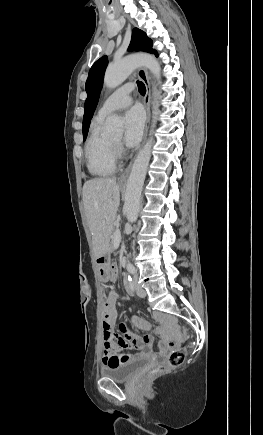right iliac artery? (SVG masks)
Instances as JSON below:
<instances>
[{"instance_id": "1", "label": "right iliac artery", "mask_w": 263, "mask_h": 435, "mask_svg": "<svg viewBox=\"0 0 263 435\" xmlns=\"http://www.w3.org/2000/svg\"><path fill=\"white\" fill-rule=\"evenodd\" d=\"M128 281H129V284H130V288H131V290L134 291V284H133V282H132V278H131L130 275H128Z\"/></svg>"}]
</instances>
